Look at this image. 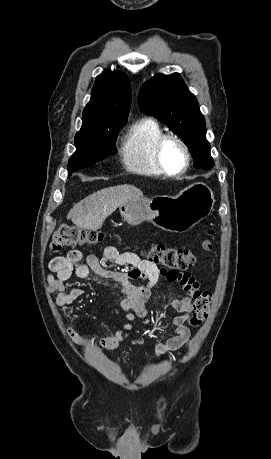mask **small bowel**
Segmentation results:
<instances>
[{"instance_id":"1","label":"small bowel","mask_w":271,"mask_h":459,"mask_svg":"<svg viewBox=\"0 0 271 459\" xmlns=\"http://www.w3.org/2000/svg\"><path fill=\"white\" fill-rule=\"evenodd\" d=\"M102 260L112 261L118 265H130L134 269L129 272H117L105 268ZM55 276L48 277V288L57 293L58 305H69L80 299L85 294L84 288H74L66 291L64 281L73 273L80 279H90L93 275L101 279L110 280L121 290L124 298L120 306L125 313L126 323L114 336L103 338L95 344L104 350H113L118 347L127 334L131 331V322L136 318L146 316L145 304L150 297V289L163 277L169 282H178L185 295L182 298H168V302L176 311L183 313L172 319L175 336L166 343L158 344L155 353L158 357H165L171 353H181L187 348L191 340V331L184 325L189 313L193 310L194 302L199 296L200 284L185 271H169L159 269L155 263L141 258L135 252H120L116 246H107L102 253V259L95 255L85 256L79 250H71L66 256L56 257L49 264ZM144 280L146 285H137L135 281ZM69 335L78 344L83 345L85 340L78 333L70 329Z\"/></svg>"}]
</instances>
